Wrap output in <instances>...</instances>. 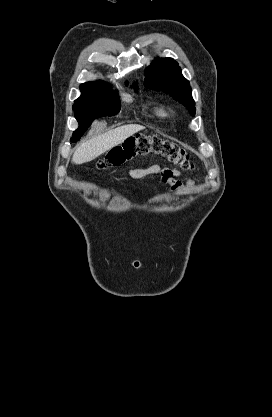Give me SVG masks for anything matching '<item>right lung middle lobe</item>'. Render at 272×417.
I'll list each match as a JSON object with an SVG mask.
<instances>
[{"instance_id":"obj_1","label":"right lung middle lobe","mask_w":272,"mask_h":417,"mask_svg":"<svg viewBox=\"0 0 272 417\" xmlns=\"http://www.w3.org/2000/svg\"><path fill=\"white\" fill-rule=\"evenodd\" d=\"M138 89V88H137ZM135 89V91H137ZM79 128L74 131L72 142H76L85 133L92 121L101 116H113L120 110L116 94H95L73 105Z\"/></svg>"}]
</instances>
